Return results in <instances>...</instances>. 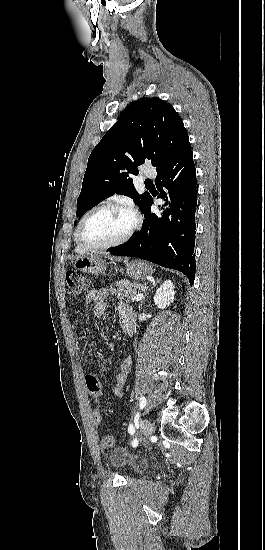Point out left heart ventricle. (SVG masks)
<instances>
[{"instance_id": "1", "label": "left heart ventricle", "mask_w": 265, "mask_h": 550, "mask_svg": "<svg viewBox=\"0 0 265 550\" xmlns=\"http://www.w3.org/2000/svg\"><path fill=\"white\" fill-rule=\"evenodd\" d=\"M133 224L126 211L107 208L93 213L82 228L83 239L90 244H106L124 236Z\"/></svg>"}]
</instances>
